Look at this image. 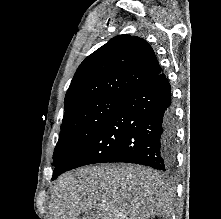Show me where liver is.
<instances>
[{"mask_svg": "<svg viewBox=\"0 0 221 219\" xmlns=\"http://www.w3.org/2000/svg\"><path fill=\"white\" fill-rule=\"evenodd\" d=\"M92 209L102 219L168 218L173 195L158 172L125 164L89 166L56 181L50 201L53 219H78Z\"/></svg>", "mask_w": 221, "mask_h": 219, "instance_id": "1", "label": "liver"}]
</instances>
